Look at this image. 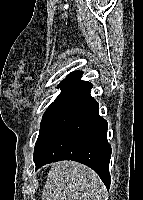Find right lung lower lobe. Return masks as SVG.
Instances as JSON below:
<instances>
[{
	"instance_id": "right-lung-lower-lobe-1",
	"label": "right lung lower lobe",
	"mask_w": 143,
	"mask_h": 200,
	"mask_svg": "<svg viewBox=\"0 0 143 200\" xmlns=\"http://www.w3.org/2000/svg\"><path fill=\"white\" fill-rule=\"evenodd\" d=\"M82 74L78 72L59 85L62 92L42 117L34 162L36 170L59 160L83 163L92 168L109 189L108 125L99 116L98 103L90 95L92 84L80 80Z\"/></svg>"
}]
</instances>
